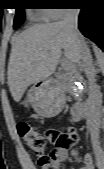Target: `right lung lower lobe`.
<instances>
[{
    "mask_svg": "<svg viewBox=\"0 0 104 169\" xmlns=\"http://www.w3.org/2000/svg\"><path fill=\"white\" fill-rule=\"evenodd\" d=\"M79 29L84 36L104 49V9L101 0H82Z\"/></svg>",
    "mask_w": 104,
    "mask_h": 169,
    "instance_id": "98d812e1",
    "label": "right lung lower lobe"
}]
</instances>
